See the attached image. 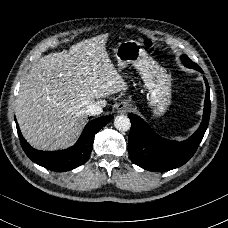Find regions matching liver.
I'll return each mask as SVG.
<instances>
[{
	"label": "liver",
	"instance_id": "1",
	"mask_svg": "<svg viewBox=\"0 0 228 228\" xmlns=\"http://www.w3.org/2000/svg\"><path fill=\"white\" fill-rule=\"evenodd\" d=\"M107 38L101 34L72 45L69 52L50 53L23 78L15 114L31 146L41 150L72 146L86 123V107L92 103L105 107L101 98L126 89L106 51Z\"/></svg>",
	"mask_w": 228,
	"mask_h": 228
}]
</instances>
